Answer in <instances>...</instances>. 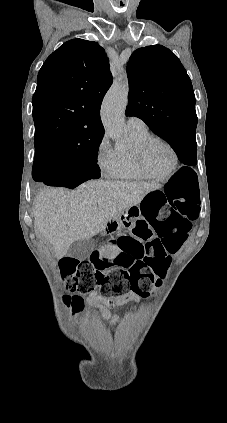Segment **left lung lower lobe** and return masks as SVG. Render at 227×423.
Returning a JSON list of instances; mask_svg holds the SVG:
<instances>
[{
    "label": "left lung lower lobe",
    "mask_w": 227,
    "mask_h": 423,
    "mask_svg": "<svg viewBox=\"0 0 227 423\" xmlns=\"http://www.w3.org/2000/svg\"><path fill=\"white\" fill-rule=\"evenodd\" d=\"M176 152L179 160L186 165H196V140L195 137H184L180 138L170 144ZM179 173H195L188 167L180 169Z\"/></svg>",
    "instance_id": "obj_1"
}]
</instances>
